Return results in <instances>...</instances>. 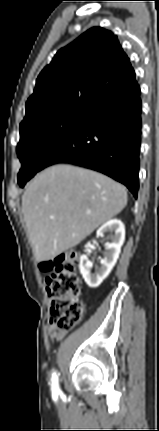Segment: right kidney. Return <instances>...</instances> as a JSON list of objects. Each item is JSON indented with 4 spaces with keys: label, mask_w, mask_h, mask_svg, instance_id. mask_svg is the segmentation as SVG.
<instances>
[{
    "label": "right kidney",
    "mask_w": 159,
    "mask_h": 431,
    "mask_svg": "<svg viewBox=\"0 0 159 431\" xmlns=\"http://www.w3.org/2000/svg\"><path fill=\"white\" fill-rule=\"evenodd\" d=\"M105 233L109 234L111 242L105 245L103 257H99L100 267L95 274L90 273V262L88 256L83 254L80 257L79 269L90 288H97L103 280L109 275L119 257L121 246L125 240V227L118 219H113L102 225L96 233L97 237H103ZM91 245L90 242L87 246Z\"/></svg>",
    "instance_id": "ca27d5eb"
}]
</instances>
